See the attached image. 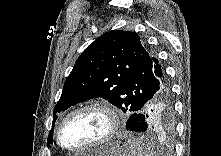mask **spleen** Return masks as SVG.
Returning <instances> with one entry per match:
<instances>
[{
	"label": "spleen",
	"instance_id": "1",
	"mask_svg": "<svg viewBox=\"0 0 221 156\" xmlns=\"http://www.w3.org/2000/svg\"><path fill=\"white\" fill-rule=\"evenodd\" d=\"M129 145L131 156H154L155 153L149 148L143 137L126 141Z\"/></svg>",
	"mask_w": 221,
	"mask_h": 156
}]
</instances>
